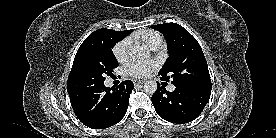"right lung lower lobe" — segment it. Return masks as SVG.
Instances as JSON below:
<instances>
[{"label": "right lung lower lobe", "instance_id": "1", "mask_svg": "<svg viewBox=\"0 0 276 138\" xmlns=\"http://www.w3.org/2000/svg\"><path fill=\"white\" fill-rule=\"evenodd\" d=\"M133 89V82L127 80L117 88L102 84L69 93V97L75 115L84 125L93 129H105L123 119Z\"/></svg>", "mask_w": 276, "mask_h": 138}]
</instances>
